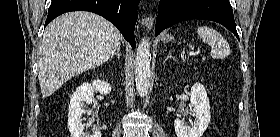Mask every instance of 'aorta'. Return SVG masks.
<instances>
[{"label":"aorta","mask_w":280,"mask_h":137,"mask_svg":"<svg viewBox=\"0 0 280 137\" xmlns=\"http://www.w3.org/2000/svg\"><path fill=\"white\" fill-rule=\"evenodd\" d=\"M150 44L148 39H142L136 49L135 80L136 88L140 97L148 94L150 84Z\"/></svg>","instance_id":"obj_1"}]
</instances>
